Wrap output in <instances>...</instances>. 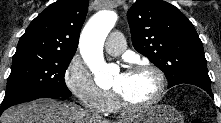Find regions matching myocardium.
<instances>
[{
    "label": "myocardium",
    "instance_id": "1",
    "mask_svg": "<svg viewBox=\"0 0 221 123\" xmlns=\"http://www.w3.org/2000/svg\"><path fill=\"white\" fill-rule=\"evenodd\" d=\"M149 71L152 74H154V76L156 77L157 80V91L154 95V97L145 102V103H132L130 101H128L119 91H117L116 89H113V93L114 96L117 100V102L119 103L120 107H122L124 110L127 111H142V110H146L149 109L153 106H155L156 104H158L164 94H165V90H166V79H165V75L162 72L161 69H159L157 66H155L152 63L149 62H144V63H138L135 65H132L127 72H135V71Z\"/></svg>",
    "mask_w": 221,
    "mask_h": 123
}]
</instances>
